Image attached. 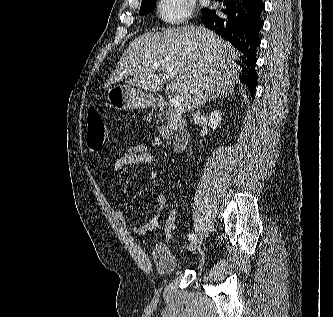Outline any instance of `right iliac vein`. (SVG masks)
Wrapping results in <instances>:
<instances>
[{"mask_svg":"<svg viewBox=\"0 0 333 317\" xmlns=\"http://www.w3.org/2000/svg\"><path fill=\"white\" fill-rule=\"evenodd\" d=\"M201 244H202V238H197L196 240H193L190 242L187 249H188V251H193L196 248L200 247Z\"/></svg>","mask_w":333,"mask_h":317,"instance_id":"right-iliac-vein-1","label":"right iliac vein"}]
</instances>
